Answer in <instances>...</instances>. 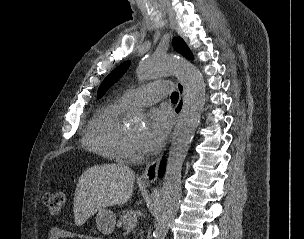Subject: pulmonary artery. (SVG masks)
Here are the masks:
<instances>
[{
  "label": "pulmonary artery",
  "mask_w": 304,
  "mask_h": 239,
  "mask_svg": "<svg viewBox=\"0 0 304 239\" xmlns=\"http://www.w3.org/2000/svg\"><path fill=\"white\" fill-rule=\"evenodd\" d=\"M170 90L167 82L147 84L124 93L120 100L129 107H143L154 104L164 98Z\"/></svg>",
  "instance_id": "pulmonary-artery-1"
}]
</instances>
